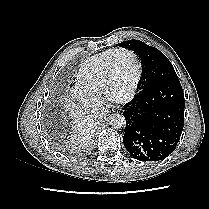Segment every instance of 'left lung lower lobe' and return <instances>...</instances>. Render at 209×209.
<instances>
[{
    "instance_id": "1",
    "label": "left lung lower lobe",
    "mask_w": 209,
    "mask_h": 209,
    "mask_svg": "<svg viewBox=\"0 0 209 209\" xmlns=\"http://www.w3.org/2000/svg\"><path fill=\"white\" fill-rule=\"evenodd\" d=\"M184 93L178 78L141 91L123 110V143L140 161H160L176 148L184 125Z\"/></svg>"
}]
</instances>
